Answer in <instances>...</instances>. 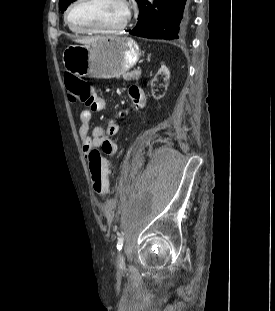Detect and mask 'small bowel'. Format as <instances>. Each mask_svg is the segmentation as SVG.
I'll return each mask as SVG.
<instances>
[{
    "mask_svg": "<svg viewBox=\"0 0 275 311\" xmlns=\"http://www.w3.org/2000/svg\"><path fill=\"white\" fill-rule=\"evenodd\" d=\"M128 94L133 103L137 106L142 104L143 91L138 86H130ZM104 108V102L100 99L94 100L88 104V108L79 113L80 126L78 129L80 142L85 157L88 159L95 148L99 147L103 153L113 156L117 152L116 135L119 130L116 121H110L105 127L90 128V121L93 111H100ZM126 112L120 115L126 114Z\"/></svg>",
    "mask_w": 275,
    "mask_h": 311,
    "instance_id": "small-bowel-1",
    "label": "small bowel"
}]
</instances>
